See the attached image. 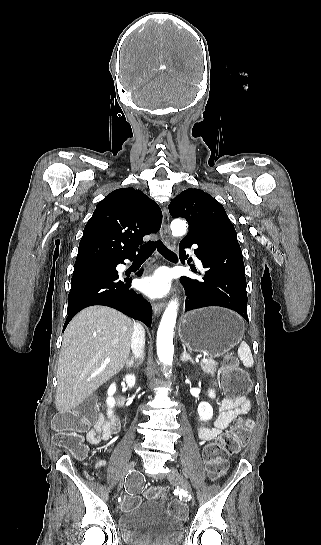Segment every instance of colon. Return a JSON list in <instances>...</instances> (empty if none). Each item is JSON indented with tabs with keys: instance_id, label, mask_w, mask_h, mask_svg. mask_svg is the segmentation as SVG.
Wrapping results in <instances>:
<instances>
[{
	"instance_id": "5ec220e1",
	"label": "colon",
	"mask_w": 321,
	"mask_h": 545,
	"mask_svg": "<svg viewBox=\"0 0 321 545\" xmlns=\"http://www.w3.org/2000/svg\"><path fill=\"white\" fill-rule=\"evenodd\" d=\"M222 386L230 398L244 396L250 390L248 375L241 370L234 359H227L223 364ZM95 409V400L86 399L76 409L62 412L54 418L57 429L54 443L68 449L77 459H83L87 454L83 431L92 423ZM253 422L249 418L238 419L231 430L210 444L203 451V457L210 478H219L226 470L227 457L237 454L248 442ZM146 496L155 500L165 501L167 489L160 486L150 487ZM141 503V498L134 494H127L121 504V510H130ZM170 513L177 518H185L186 509L179 502L169 504Z\"/></svg>"
}]
</instances>
